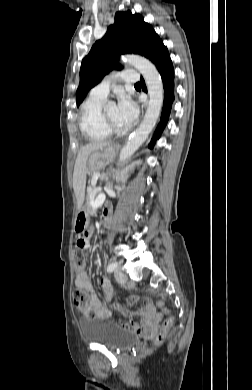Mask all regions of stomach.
Wrapping results in <instances>:
<instances>
[{"instance_id":"0dacf381","label":"stomach","mask_w":252,"mask_h":390,"mask_svg":"<svg viewBox=\"0 0 252 390\" xmlns=\"http://www.w3.org/2000/svg\"><path fill=\"white\" fill-rule=\"evenodd\" d=\"M116 148L114 146H107L102 150H97L89 155L87 162V171L89 174H93L102 170L107 163L112 161L115 157ZM90 214L88 212V206L82 207L76 214L74 222V230L76 232L83 231L89 225Z\"/></svg>"}]
</instances>
